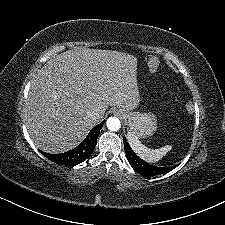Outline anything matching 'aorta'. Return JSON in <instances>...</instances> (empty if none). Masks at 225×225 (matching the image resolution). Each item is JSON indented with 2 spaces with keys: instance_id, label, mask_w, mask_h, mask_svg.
I'll use <instances>...</instances> for the list:
<instances>
[{
  "instance_id": "762f6f07",
  "label": "aorta",
  "mask_w": 225,
  "mask_h": 225,
  "mask_svg": "<svg viewBox=\"0 0 225 225\" xmlns=\"http://www.w3.org/2000/svg\"><path fill=\"white\" fill-rule=\"evenodd\" d=\"M106 126L111 131H118L121 128V123L118 118L109 117L106 121Z\"/></svg>"
}]
</instances>
